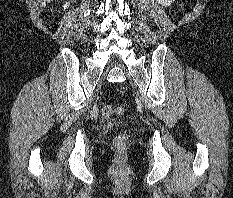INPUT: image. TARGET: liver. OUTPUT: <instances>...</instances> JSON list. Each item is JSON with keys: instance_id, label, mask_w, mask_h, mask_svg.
Returning a JSON list of instances; mask_svg holds the SVG:
<instances>
[{"instance_id": "6515ba94", "label": "liver", "mask_w": 233, "mask_h": 198, "mask_svg": "<svg viewBox=\"0 0 233 198\" xmlns=\"http://www.w3.org/2000/svg\"><path fill=\"white\" fill-rule=\"evenodd\" d=\"M47 2H52L53 0H46Z\"/></svg>"}]
</instances>
